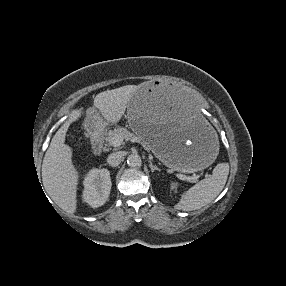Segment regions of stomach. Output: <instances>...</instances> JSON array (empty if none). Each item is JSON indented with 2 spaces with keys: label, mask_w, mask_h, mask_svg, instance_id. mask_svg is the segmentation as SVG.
<instances>
[{
  "label": "stomach",
  "mask_w": 286,
  "mask_h": 286,
  "mask_svg": "<svg viewBox=\"0 0 286 286\" xmlns=\"http://www.w3.org/2000/svg\"><path fill=\"white\" fill-rule=\"evenodd\" d=\"M128 124L169 168L193 173L216 159L219 138L202 116L198 100L174 82L149 80L138 85L127 106ZM99 116L89 111L85 129L98 130Z\"/></svg>",
  "instance_id": "obj_1"
}]
</instances>
